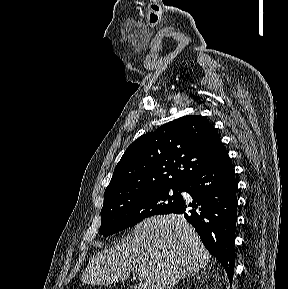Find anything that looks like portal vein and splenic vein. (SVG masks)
<instances>
[{"label":"portal vein and splenic vein","instance_id":"18ae733b","mask_svg":"<svg viewBox=\"0 0 288 289\" xmlns=\"http://www.w3.org/2000/svg\"><path fill=\"white\" fill-rule=\"evenodd\" d=\"M137 276H138L139 281H141L142 280V274H138Z\"/></svg>","mask_w":288,"mask_h":289}]
</instances>
